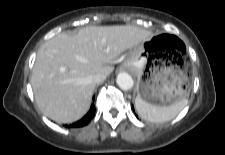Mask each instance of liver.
<instances>
[{"mask_svg":"<svg viewBox=\"0 0 225 155\" xmlns=\"http://www.w3.org/2000/svg\"><path fill=\"white\" fill-rule=\"evenodd\" d=\"M154 33L137 26H89L75 36L60 33L39 49L31 74L35 101L45 116L71 123L88 111L93 76L110 75L113 61Z\"/></svg>","mask_w":225,"mask_h":155,"instance_id":"6515ba94","label":"liver"}]
</instances>
